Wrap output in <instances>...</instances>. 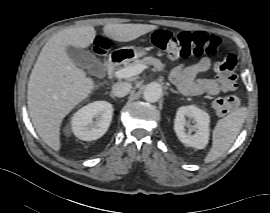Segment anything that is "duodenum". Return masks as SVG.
Returning a JSON list of instances; mask_svg holds the SVG:
<instances>
[{
  "instance_id": "410a0bca",
  "label": "duodenum",
  "mask_w": 270,
  "mask_h": 213,
  "mask_svg": "<svg viewBox=\"0 0 270 213\" xmlns=\"http://www.w3.org/2000/svg\"><path fill=\"white\" fill-rule=\"evenodd\" d=\"M126 55L122 52H115L110 55L108 72L113 75L118 67L124 62Z\"/></svg>"
}]
</instances>
